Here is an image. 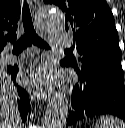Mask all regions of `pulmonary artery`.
Wrapping results in <instances>:
<instances>
[{"mask_svg": "<svg viewBox=\"0 0 125 128\" xmlns=\"http://www.w3.org/2000/svg\"><path fill=\"white\" fill-rule=\"evenodd\" d=\"M53 39V47L54 48H67L73 44L72 37L69 34H56L52 36ZM18 58L12 55H5L4 62L5 63H13L17 61Z\"/></svg>", "mask_w": 125, "mask_h": 128, "instance_id": "pulmonary-artery-1", "label": "pulmonary artery"}]
</instances>
